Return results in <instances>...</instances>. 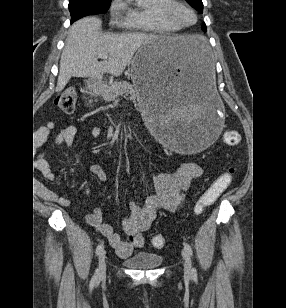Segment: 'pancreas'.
I'll list each match as a JSON object with an SVG mask.
<instances>
[{
	"label": "pancreas",
	"instance_id": "cf45deb5",
	"mask_svg": "<svg viewBox=\"0 0 286 308\" xmlns=\"http://www.w3.org/2000/svg\"><path fill=\"white\" fill-rule=\"evenodd\" d=\"M99 92L106 102L114 101L118 96L130 95L132 99L139 97L134 86L126 81H116L110 85L103 86Z\"/></svg>",
	"mask_w": 286,
	"mask_h": 308
}]
</instances>
